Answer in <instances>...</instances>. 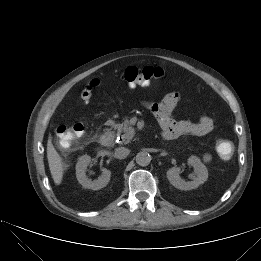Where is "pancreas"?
I'll use <instances>...</instances> for the list:
<instances>
[{"label": "pancreas", "mask_w": 261, "mask_h": 261, "mask_svg": "<svg viewBox=\"0 0 261 261\" xmlns=\"http://www.w3.org/2000/svg\"><path fill=\"white\" fill-rule=\"evenodd\" d=\"M113 128L117 130V135L121 136L122 143L124 144L129 143L135 134L134 128L131 126L130 121L127 119L124 120L122 124H114Z\"/></svg>", "instance_id": "pancreas-1"}]
</instances>
